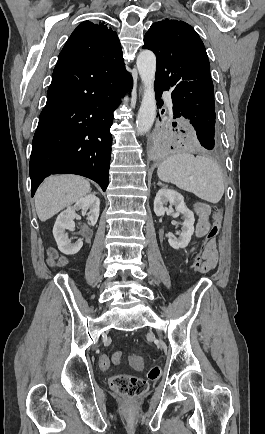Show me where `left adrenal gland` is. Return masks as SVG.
Wrapping results in <instances>:
<instances>
[{
	"instance_id": "1",
	"label": "left adrenal gland",
	"mask_w": 265,
	"mask_h": 434,
	"mask_svg": "<svg viewBox=\"0 0 265 434\" xmlns=\"http://www.w3.org/2000/svg\"><path fill=\"white\" fill-rule=\"evenodd\" d=\"M158 186H163V184H161V182H158Z\"/></svg>"
}]
</instances>
